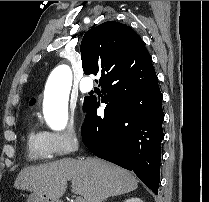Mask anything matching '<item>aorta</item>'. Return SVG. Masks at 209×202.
<instances>
[{"instance_id":"1","label":"aorta","mask_w":209,"mask_h":202,"mask_svg":"<svg viewBox=\"0 0 209 202\" xmlns=\"http://www.w3.org/2000/svg\"><path fill=\"white\" fill-rule=\"evenodd\" d=\"M71 84L72 73L66 65L56 67L46 82L43 112L46 123L52 130H63L67 125Z\"/></svg>"}]
</instances>
